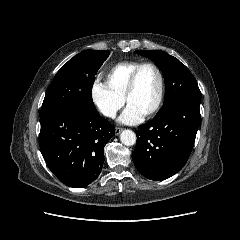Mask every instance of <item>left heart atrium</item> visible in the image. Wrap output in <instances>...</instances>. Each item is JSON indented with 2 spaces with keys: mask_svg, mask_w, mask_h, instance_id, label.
Segmentation results:
<instances>
[{
  "mask_svg": "<svg viewBox=\"0 0 240 240\" xmlns=\"http://www.w3.org/2000/svg\"><path fill=\"white\" fill-rule=\"evenodd\" d=\"M143 118V114L134 106L129 105L125 108L119 118V122L127 125L139 123Z\"/></svg>",
  "mask_w": 240,
  "mask_h": 240,
  "instance_id": "39dd6f15",
  "label": "left heart atrium"
}]
</instances>
